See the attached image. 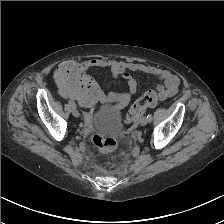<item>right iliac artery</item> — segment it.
Instances as JSON below:
<instances>
[{
    "label": "right iliac artery",
    "instance_id": "82829eb1",
    "mask_svg": "<svg viewBox=\"0 0 224 224\" xmlns=\"http://www.w3.org/2000/svg\"><path fill=\"white\" fill-rule=\"evenodd\" d=\"M68 103L72 108H76V104L73 101H69Z\"/></svg>",
    "mask_w": 224,
    "mask_h": 224
}]
</instances>
